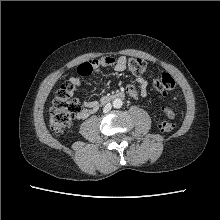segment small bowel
<instances>
[{
  "mask_svg": "<svg viewBox=\"0 0 220 220\" xmlns=\"http://www.w3.org/2000/svg\"><path fill=\"white\" fill-rule=\"evenodd\" d=\"M105 67H112L116 72H122L126 69V58L123 56L117 59L112 57H104L82 63L77 68V76L70 78V82L74 86V90L81 86L85 77L91 75L92 73L98 72ZM87 68H91V73L86 74ZM137 82L139 84V88H136L134 85H128L126 87L127 95L133 99H137L139 96H146L148 91V82L143 77H138ZM99 107L98 101L84 102L78 112V118L85 119L89 117L91 114L97 112Z\"/></svg>",
  "mask_w": 220,
  "mask_h": 220,
  "instance_id": "c3829d8e",
  "label": "small bowel"
}]
</instances>
